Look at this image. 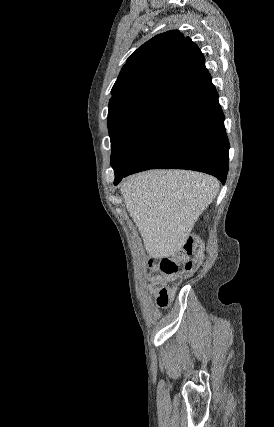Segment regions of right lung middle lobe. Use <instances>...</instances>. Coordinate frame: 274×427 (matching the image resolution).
Segmentation results:
<instances>
[{
	"instance_id": "dd1d6c3e",
	"label": "right lung middle lobe",
	"mask_w": 274,
	"mask_h": 427,
	"mask_svg": "<svg viewBox=\"0 0 274 427\" xmlns=\"http://www.w3.org/2000/svg\"><path fill=\"white\" fill-rule=\"evenodd\" d=\"M174 104L163 95L153 94L109 110L111 165L129 164Z\"/></svg>"
}]
</instances>
